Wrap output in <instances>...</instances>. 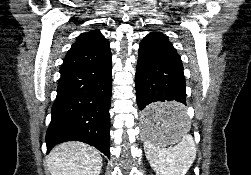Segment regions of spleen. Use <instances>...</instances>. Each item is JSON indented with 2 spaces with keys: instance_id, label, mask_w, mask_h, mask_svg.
<instances>
[{
  "instance_id": "obj_1",
  "label": "spleen",
  "mask_w": 251,
  "mask_h": 175,
  "mask_svg": "<svg viewBox=\"0 0 251 175\" xmlns=\"http://www.w3.org/2000/svg\"><path fill=\"white\" fill-rule=\"evenodd\" d=\"M178 129L179 141L174 147H163L170 125V119H175ZM190 123L183 109H168V111H155L149 115V137L145 139L144 149L147 159L156 175H185L196 157V145L192 135H189Z\"/></svg>"
}]
</instances>
